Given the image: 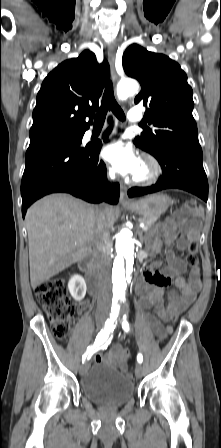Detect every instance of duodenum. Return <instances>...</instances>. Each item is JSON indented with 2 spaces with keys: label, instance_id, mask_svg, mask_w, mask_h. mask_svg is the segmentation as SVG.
Segmentation results:
<instances>
[{
  "label": "duodenum",
  "instance_id": "1",
  "mask_svg": "<svg viewBox=\"0 0 221 448\" xmlns=\"http://www.w3.org/2000/svg\"><path fill=\"white\" fill-rule=\"evenodd\" d=\"M79 267L81 271L84 272L88 277L89 292L91 294H95L97 291L98 282L95 274V269L91 263L90 257L89 256L84 257L79 262Z\"/></svg>",
  "mask_w": 221,
  "mask_h": 448
}]
</instances>
